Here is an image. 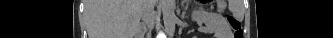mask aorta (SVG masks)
I'll list each match as a JSON object with an SVG mask.
<instances>
[{
	"mask_svg": "<svg viewBox=\"0 0 333 38\" xmlns=\"http://www.w3.org/2000/svg\"><path fill=\"white\" fill-rule=\"evenodd\" d=\"M163 20L168 36L173 37L177 17L175 15V0H161Z\"/></svg>",
	"mask_w": 333,
	"mask_h": 38,
	"instance_id": "762f6f07",
	"label": "aorta"
}]
</instances>
